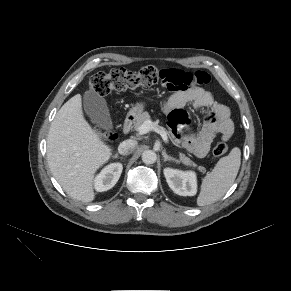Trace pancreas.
Listing matches in <instances>:
<instances>
[{"mask_svg": "<svg viewBox=\"0 0 291 291\" xmlns=\"http://www.w3.org/2000/svg\"><path fill=\"white\" fill-rule=\"evenodd\" d=\"M150 119H151V117H150V115H149L148 112H143V113H141V114L137 117L136 121H135L134 124H133L134 129L138 131L139 127H140V126H141L145 121L150 120ZM179 159H180V162H182V163H183L184 165H186V166H191V167H196V166H197L194 162H192V161L190 160V158L186 157L185 154H183V153H180V154H179ZM197 169H198L200 172H202V173L205 172V168H204L203 166H199Z\"/></svg>", "mask_w": 291, "mask_h": 291, "instance_id": "cf45deb5", "label": "pancreas"}]
</instances>
